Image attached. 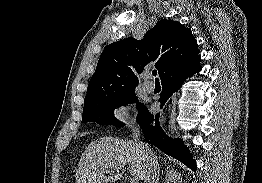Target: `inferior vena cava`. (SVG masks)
<instances>
[{"instance_id":"602c4592","label":"inferior vena cava","mask_w":262,"mask_h":183,"mask_svg":"<svg viewBox=\"0 0 262 183\" xmlns=\"http://www.w3.org/2000/svg\"><path fill=\"white\" fill-rule=\"evenodd\" d=\"M140 130L138 126L132 127V137L136 141L143 160V181L144 183H155L157 176V159L153 152L148 148L147 144L139 141Z\"/></svg>"}]
</instances>
